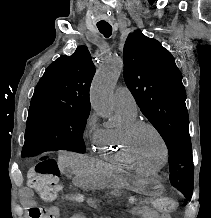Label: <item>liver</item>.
<instances>
[{"label":"liver","instance_id":"liver-1","mask_svg":"<svg viewBox=\"0 0 211 218\" xmlns=\"http://www.w3.org/2000/svg\"><path fill=\"white\" fill-rule=\"evenodd\" d=\"M60 168H69L71 174H75L77 178L86 176L87 172L91 170L92 160L85 154H72V152H64L58 158Z\"/></svg>","mask_w":211,"mask_h":218}]
</instances>
